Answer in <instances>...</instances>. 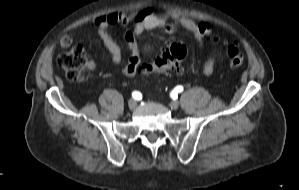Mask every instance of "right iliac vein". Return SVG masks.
I'll use <instances>...</instances> for the list:
<instances>
[{
    "mask_svg": "<svg viewBox=\"0 0 299 190\" xmlns=\"http://www.w3.org/2000/svg\"><path fill=\"white\" fill-rule=\"evenodd\" d=\"M136 105H137V103L134 99L129 100V102H128L129 109H131V110L135 109Z\"/></svg>",
    "mask_w": 299,
    "mask_h": 190,
    "instance_id": "obj_1",
    "label": "right iliac vein"
}]
</instances>
